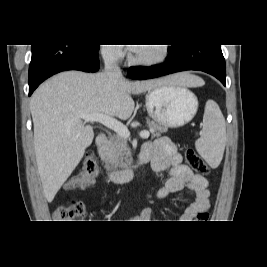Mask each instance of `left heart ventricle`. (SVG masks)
Masks as SVG:
<instances>
[{
    "label": "left heart ventricle",
    "mask_w": 267,
    "mask_h": 267,
    "mask_svg": "<svg viewBox=\"0 0 267 267\" xmlns=\"http://www.w3.org/2000/svg\"><path fill=\"white\" fill-rule=\"evenodd\" d=\"M159 53V46H144L139 47L135 52L139 58H150L154 57Z\"/></svg>",
    "instance_id": "1"
}]
</instances>
